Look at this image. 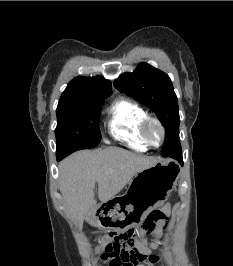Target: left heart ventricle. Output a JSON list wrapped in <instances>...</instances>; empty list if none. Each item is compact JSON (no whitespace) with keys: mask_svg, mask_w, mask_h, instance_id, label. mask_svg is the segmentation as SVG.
<instances>
[{"mask_svg":"<svg viewBox=\"0 0 233 266\" xmlns=\"http://www.w3.org/2000/svg\"><path fill=\"white\" fill-rule=\"evenodd\" d=\"M148 136L153 144H159L161 141V131L155 124H151L148 129Z\"/></svg>","mask_w":233,"mask_h":266,"instance_id":"b2bd125f","label":"left heart ventricle"}]
</instances>
